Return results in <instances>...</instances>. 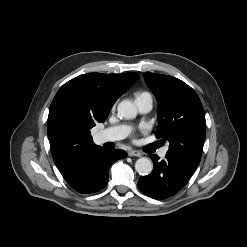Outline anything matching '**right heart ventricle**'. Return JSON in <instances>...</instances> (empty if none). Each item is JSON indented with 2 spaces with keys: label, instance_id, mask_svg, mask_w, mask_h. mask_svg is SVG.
I'll return each instance as SVG.
<instances>
[{
  "label": "right heart ventricle",
  "instance_id": "e07e8e85",
  "mask_svg": "<svg viewBox=\"0 0 247 247\" xmlns=\"http://www.w3.org/2000/svg\"><path fill=\"white\" fill-rule=\"evenodd\" d=\"M141 98H151V96L147 92H137L135 94V99L138 100V99H141Z\"/></svg>",
  "mask_w": 247,
  "mask_h": 247
}]
</instances>
